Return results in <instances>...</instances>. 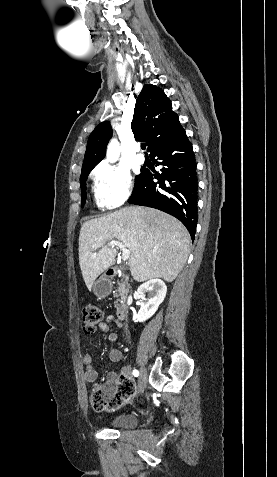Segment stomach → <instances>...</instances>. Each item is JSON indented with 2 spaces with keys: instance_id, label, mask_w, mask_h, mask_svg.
I'll use <instances>...</instances> for the list:
<instances>
[{
  "instance_id": "stomach-1",
  "label": "stomach",
  "mask_w": 277,
  "mask_h": 477,
  "mask_svg": "<svg viewBox=\"0 0 277 477\" xmlns=\"http://www.w3.org/2000/svg\"><path fill=\"white\" fill-rule=\"evenodd\" d=\"M92 289L97 297H106L112 291V283L108 278L102 276L93 283Z\"/></svg>"
}]
</instances>
